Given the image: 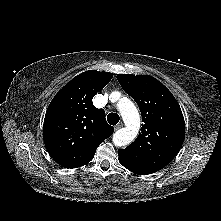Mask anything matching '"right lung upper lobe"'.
Here are the masks:
<instances>
[{
    "mask_svg": "<svg viewBox=\"0 0 221 221\" xmlns=\"http://www.w3.org/2000/svg\"><path fill=\"white\" fill-rule=\"evenodd\" d=\"M112 73L86 71L67 83L51 101L44 119V144L62 167L89 163L97 147L114 131L105 111L92 98L112 79Z\"/></svg>",
    "mask_w": 221,
    "mask_h": 221,
    "instance_id": "1",
    "label": "right lung upper lobe"
}]
</instances>
